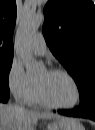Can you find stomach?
<instances>
[{"label": "stomach", "mask_w": 95, "mask_h": 130, "mask_svg": "<svg viewBox=\"0 0 95 130\" xmlns=\"http://www.w3.org/2000/svg\"><path fill=\"white\" fill-rule=\"evenodd\" d=\"M47 130H85L76 118H63L47 125Z\"/></svg>", "instance_id": "obj_1"}]
</instances>
